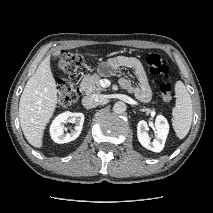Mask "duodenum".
<instances>
[{
    "label": "duodenum",
    "instance_id": "410a0bca",
    "mask_svg": "<svg viewBox=\"0 0 213 213\" xmlns=\"http://www.w3.org/2000/svg\"><path fill=\"white\" fill-rule=\"evenodd\" d=\"M79 89H80V92L82 93V91H83L82 88H79Z\"/></svg>",
    "mask_w": 213,
    "mask_h": 213
}]
</instances>
